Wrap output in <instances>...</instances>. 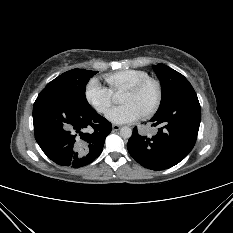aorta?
I'll list each match as a JSON object with an SVG mask.
<instances>
[{
    "label": "aorta",
    "mask_w": 233,
    "mask_h": 233,
    "mask_svg": "<svg viewBox=\"0 0 233 233\" xmlns=\"http://www.w3.org/2000/svg\"><path fill=\"white\" fill-rule=\"evenodd\" d=\"M120 136L124 139L130 138L132 136V129L130 127H122L120 129Z\"/></svg>",
    "instance_id": "762f6f07"
}]
</instances>
